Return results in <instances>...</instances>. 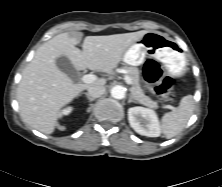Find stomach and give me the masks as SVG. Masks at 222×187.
I'll return each instance as SVG.
<instances>
[{"label": "stomach", "mask_w": 222, "mask_h": 187, "mask_svg": "<svg viewBox=\"0 0 222 187\" xmlns=\"http://www.w3.org/2000/svg\"><path fill=\"white\" fill-rule=\"evenodd\" d=\"M147 56L163 63L169 75L180 77L187 69V59L181 47L166 34L147 31L125 51L122 60L132 66H139Z\"/></svg>", "instance_id": "1"}]
</instances>
